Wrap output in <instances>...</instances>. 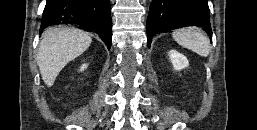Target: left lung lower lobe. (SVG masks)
I'll use <instances>...</instances> for the list:
<instances>
[{
  "instance_id": "obj_1",
  "label": "left lung lower lobe",
  "mask_w": 257,
  "mask_h": 130,
  "mask_svg": "<svg viewBox=\"0 0 257 130\" xmlns=\"http://www.w3.org/2000/svg\"><path fill=\"white\" fill-rule=\"evenodd\" d=\"M185 26H201L212 37L207 0H152L147 18L148 47L153 35Z\"/></svg>"
}]
</instances>
